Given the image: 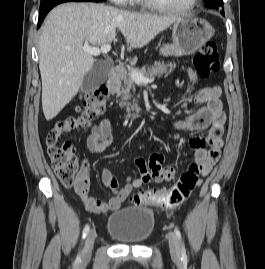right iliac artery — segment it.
I'll return each mask as SVG.
<instances>
[{
    "label": "right iliac artery",
    "instance_id": "obj_1",
    "mask_svg": "<svg viewBox=\"0 0 265 269\" xmlns=\"http://www.w3.org/2000/svg\"><path fill=\"white\" fill-rule=\"evenodd\" d=\"M89 226H85V228L83 229V233H82V238L84 239L86 236H87V234H88V232H89ZM80 261V256L78 255L77 256V259H76V262H79Z\"/></svg>",
    "mask_w": 265,
    "mask_h": 269
}]
</instances>
